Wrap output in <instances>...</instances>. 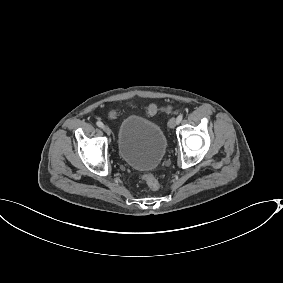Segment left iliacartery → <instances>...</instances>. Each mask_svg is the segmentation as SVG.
I'll list each match as a JSON object with an SVG mask.
<instances>
[{
  "label": "left iliac artery",
  "mask_w": 283,
  "mask_h": 283,
  "mask_svg": "<svg viewBox=\"0 0 283 283\" xmlns=\"http://www.w3.org/2000/svg\"><path fill=\"white\" fill-rule=\"evenodd\" d=\"M182 119H183V115L182 114L178 115V117L176 118L177 124H179L182 121Z\"/></svg>",
  "instance_id": "obj_1"
}]
</instances>
